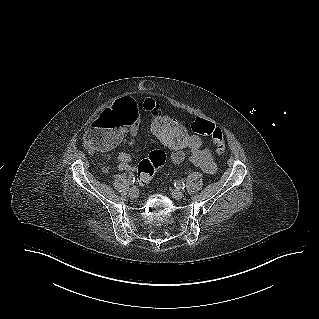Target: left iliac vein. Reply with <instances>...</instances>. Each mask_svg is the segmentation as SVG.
<instances>
[{
    "label": "left iliac vein",
    "instance_id": "obj_1",
    "mask_svg": "<svg viewBox=\"0 0 319 319\" xmlns=\"http://www.w3.org/2000/svg\"><path fill=\"white\" fill-rule=\"evenodd\" d=\"M171 195L176 200H182L184 198V194L180 190H177V189L172 190Z\"/></svg>",
    "mask_w": 319,
    "mask_h": 319
}]
</instances>
